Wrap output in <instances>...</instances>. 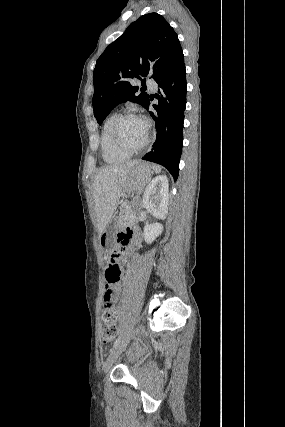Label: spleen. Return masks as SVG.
I'll return each instance as SVG.
<instances>
[{
    "label": "spleen",
    "instance_id": "obj_1",
    "mask_svg": "<svg viewBox=\"0 0 285 427\" xmlns=\"http://www.w3.org/2000/svg\"><path fill=\"white\" fill-rule=\"evenodd\" d=\"M152 168H153V171L155 173H157V174L160 173L161 170H162V168L159 165H156V164H153Z\"/></svg>",
    "mask_w": 285,
    "mask_h": 427
}]
</instances>
